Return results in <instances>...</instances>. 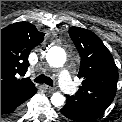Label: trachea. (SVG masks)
Returning <instances> with one entry per match:
<instances>
[{"mask_svg": "<svg viewBox=\"0 0 122 122\" xmlns=\"http://www.w3.org/2000/svg\"><path fill=\"white\" fill-rule=\"evenodd\" d=\"M36 83H45L49 86H53V80L50 77L45 76L44 74L39 75L34 79Z\"/></svg>", "mask_w": 122, "mask_h": 122, "instance_id": "trachea-1", "label": "trachea"}]
</instances>
